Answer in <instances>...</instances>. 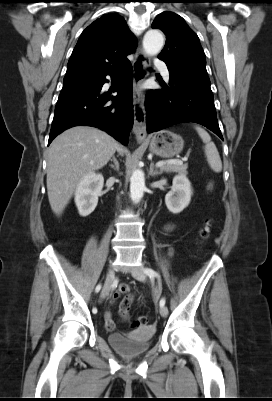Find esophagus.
Returning a JSON list of instances; mask_svg holds the SVG:
<instances>
[{
	"label": "esophagus",
	"instance_id": "1",
	"mask_svg": "<svg viewBox=\"0 0 272 401\" xmlns=\"http://www.w3.org/2000/svg\"><path fill=\"white\" fill-rule=\"evenodd\" d=\"M148 57L145 55L141 47L136 51L135 58L132 62L133 67V110H134V125L133 133L135 134L138 143L144 142L146 131V113L144 108L143 96L140 85L145 79V67Z\"/></svg>",
	"mask_w": 272,
	"mask_h": 401
}]
</instances>
